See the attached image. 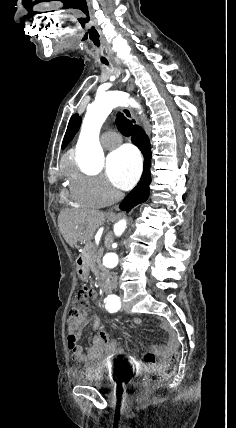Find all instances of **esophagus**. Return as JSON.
<instances>
[{
    "label": "esophagus",
    "mask_w": 236,
    "mask_h": 428,
    "mask_svg": "<svg viewBox=\"0 0 236 428\" xmlns=\"http://www.w3.org/2000/svg\"><path fill=\"white\" fill-rule=\"evenodd\" d=\"M133 78L130 75L127 81V85H126V90L127 92H129L130 94H132L133 92ZM123 114L125 115L126 118H128L130 120V122L133 123V125H137L138 121L136 120V118L133 116L132 110L129 107H125L123 108Z\"/></svg>",
    "instance_id": "34e87169"
}]
</instances>
